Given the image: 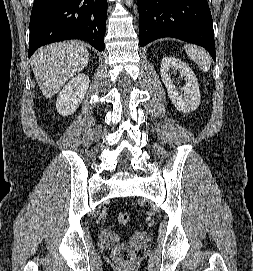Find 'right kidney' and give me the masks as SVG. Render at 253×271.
I'll list each match as a JSON object with an SVG mask.
<instances>
[{"mask_svg": "<svg viewBox=\"0 0 253 271\" xmlns=\"http://www.w3.org/2000/svg\"><path fill=\"white\" fill-rule=\"evenodd\" d=\"M89 82L87 75L79 74L65 85L56 101L59 114L67 116L76 111L87 93Z\"/></svg>", "mask_w": 253, "mask_h": 271, "instance_id": "right-kidney-1", "label": "right kidney"}]
</instances>
